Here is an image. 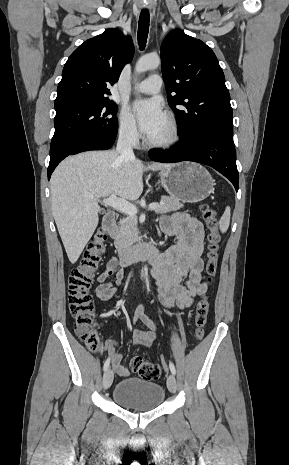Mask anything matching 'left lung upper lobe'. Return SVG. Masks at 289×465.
I'll list each match as a JSON object with an SVG mask.
<instances>
[{"label":"left lung upper lobe","mask_w":289,"mask_h":465,"mask_svg":"<svg viewBox=\"0 0 289 465\" xmlns=\"http://www.w3.org/2000/svg\"><path fill=\"white\" fill-rule=\"evenodd\" d=\"M161 60L168 103L179 120L180 138L194 129L232 136L230 94L210 47L175 29L162 42Z\"/></svg>","instance_id":"left-lung-upper-lobe-1"}]
</instances>
